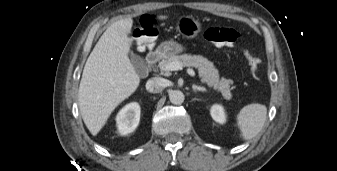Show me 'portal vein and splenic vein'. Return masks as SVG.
Instances as JSON below:
<instances>
[{
	"instance_id": "1",
	"label": "portal vein and splenic vein",
	"mask_w": 337,
	"mask_h": 171,
	"mask_svg": "<svg viewBox=\"0 0 337 171\" xmlns=\"http://www.w3.org/2000/svg\"><path fill=\"white\" fill-rule=\"evenodd\" d=\"M182 66L178 62H170L169 64L166 65V70L167 71H176V70H181ZM187 73L194 77L195 76V71L193 69H187Z\"/></svg>"
}]
</instances>
